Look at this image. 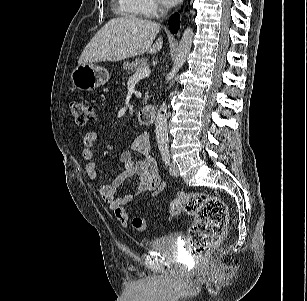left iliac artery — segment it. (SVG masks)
<instances>
[{
    "label": "left iliac artery",
    "instance_id": "left-iliac-artery-1",
    "mask_svg": "<svg viewBox=\"0 0 307 301\" xmlns=\"http://www.w3.org/2000/svg\"><path fill=\"white\" fill-rule=\"evenodd\" d=\"M160 152H161V156H162L164 163L167 165L170 160L168 147L167 146L160 147Z\"/></svg>",
    "mask_w": 307,
    "mask_h": 301
}]
</instances>
